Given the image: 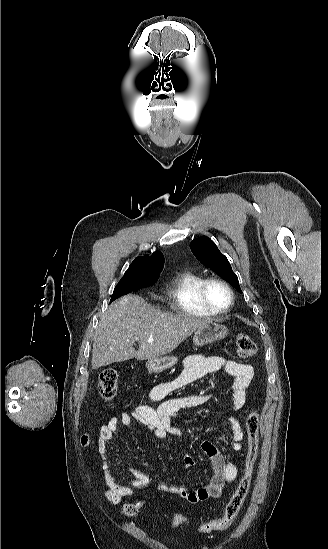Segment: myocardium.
Returning a JSON list of instances; mask_svg holds the SVG:
<instances>
[{"mask_svg":"<svg viewBox=\"0 0 328 549\" xmlns=\"http://www.w3.org/2000/svg\"><path fill=\"white\" fill-rule=\"evenodd\" d=\"M212 285H221L228 291L230 301L226 308L222 310H217L210 306L208 292ZM199 297L201 300V305H199V309L201 310V312L214 318H221L226 316L232 311L235 304V292L233 287L229 282L218 277L208 278L203 282L199 290Z\"/></svg>","mask_w":328,"mask_h":549,"instance_id":"1","label":"myocardium"}]
</instances>
